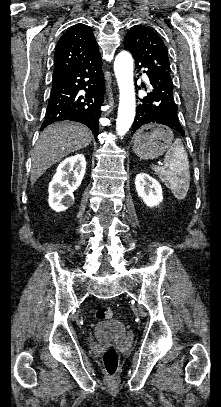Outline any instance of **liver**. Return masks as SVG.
<instances>
[{"label": "liver", "mask_w": 221, "mask_h": 407, "mask_svg": "<svg viewBox=\"0 0 221 407\" xmlns=\"http://www.w3.org/2000/svg\"><path fill=\"white\" fill-rule=\"evenodd\" d=\"M92 132L79 123L58 122L46 127L32 153L31 185L53 164L91 143Z\"/></svg>", "instance_id": "liver-1"}]
</instances>
